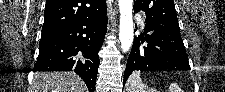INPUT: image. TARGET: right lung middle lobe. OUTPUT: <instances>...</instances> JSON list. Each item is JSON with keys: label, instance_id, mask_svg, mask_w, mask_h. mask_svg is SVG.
I'll return each mask as SVG.
<instances>
[{"label": "right lung middle lobe", "instance_id": "obj_1", "mask_svg": "<svg viewBox=\"0 0 225 92\" xmlns=\"http://www.w3.org/2000/svg\"><path fill=\"white\" fill-rule=\"evenodd\" d=\"M56 32H48V31H42V36L50 35Z\"/></svg>", "mask_w": 225, "mask_h": 92}]
</instances>
